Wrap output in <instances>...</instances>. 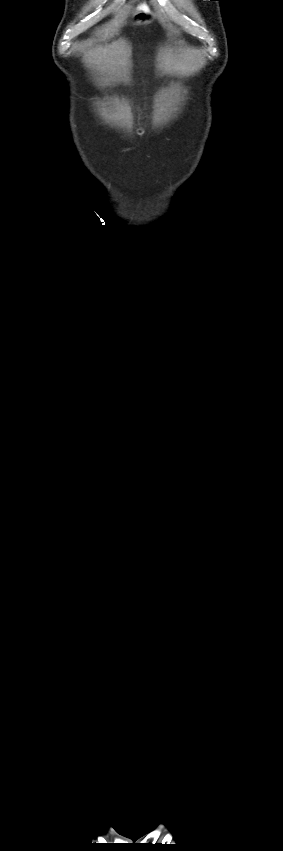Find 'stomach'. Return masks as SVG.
I'll return each instance as SVG.
<instances>
[{"label": "stomach", "mask_w": 283, "mask_h": 851, "mask_svg": "<svg viewBox=\"0 0 283 851\" xmlns=\"http://www.w3.org/2000/svg\"><path fill=\"white\" fill-rule=\"evenodd\" d=\"M153 19H154V16H153L152 13L142 12V13L136 14L133 17V22L135 24H148V23H151L153 21Z\"/></svg>", "instance_id": "0dacf381"}]
</instances>
